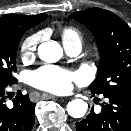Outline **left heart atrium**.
Masks as SVG:
<instances>
[{
	"instance_id": "obj_1",
	"label": "left heart atrium",
	"mask_w": 131,
	"mask_h": 131,
	"mask_svg": "<svg viewBox=\"0 0 131 131\" xmlns=\"http://www.w3.org/2000/svg\"><path fill=\"white\" fill-rule=\"evenodd\" d=\"M79 81L77 73L50 65L43 66L30 75V83L34 87L56 94L67 93L73 83Z\"/></svg>"
}]
</instances>
